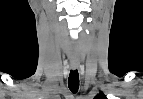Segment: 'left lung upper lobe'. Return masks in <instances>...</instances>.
I'll return each instance as SVG.
<instances>
[{
    "label": "left lung upper lobe",
    "instance_id": "left-lung-upper-lobe-1",
    "mask_svg": "<svg viewBox=\"0 0 143 99\" xmlns=\"http://www.w3.org/2000/svg\"><path fill=\"white\" fill-rule=\"evenodd\" d=\"M94 99H107L106 96L101 92Z\"/></svg>",
    "mask_w": 143,
    "mask_h": 99
}]
</instances>
